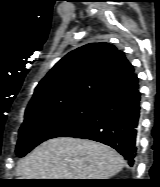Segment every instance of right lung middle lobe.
Segmentation results:
<instances>
[{
  "instance_id": "dd1d6c3e",
  "label": "right lung middle lobe",
  "mask_w": 160,
  "mask_h": 187,
  "mask_svg": "<svg viewBox=\"0 0 160 187\" xmlns=\"http://www.w3.org/2000/svg\"><path fill=\"white\" fill-rule=\"evenodd\" d=\"M98 100L75 99L26 110L19 130L17 156L23 157L43 141L59 137L75 127L92 113Z\"/></svg>"
}]
</instances>
